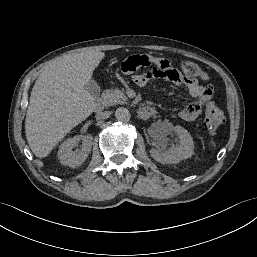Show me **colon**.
Here are the masks:
<instances>
[{"mask_svg":"<svg viewBox=\"0 0 257 257\" xmlns=\"http://www.w3.org/2000/svg\"><path fill=\"white\" fill-rule=\"evenodd\" d=\"M181 67L182 71L193 76L196 80L208 78L207 73L193 62H183ZM223 123L224 116L220 109L213 102H208L205 105L204 125L209 134L215 135Z\"/></svg>","mask_w":257,"mask_h":257,"instance_id":"obj_1","label":"colon"}]
</instances>
